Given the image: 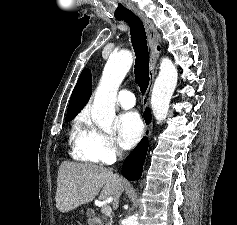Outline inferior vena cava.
<instances>
[{"instance_id": "1", "label": "inferior vena cava", "mask_w": 237, "mask_h": 225, "mask_svg": "<svg viewBox=\"0 0 237 225\" xmlns=\"http://www.w3.org/2000/svg\"><path fill=\"white\" fill-rule=\"evenodd\" d=\"M117 154L120 156V155H121V152L119 151V152H117Z\"/></svg>"}]
</instances>
